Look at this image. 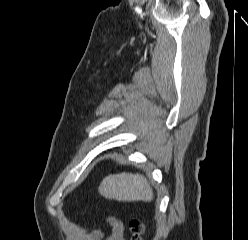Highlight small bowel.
I'll use <instances>...</instances> for the list:
<instances>
[{"label": "small bowel", "instance_id": "small-bowel-1", "mask_svg": "<svg viewBox=\"0 0 248 240\" xmlns=\"http://www.w3.org/2000/svg\"><path fill=\"white\" fill-rule=\"evenodd\" d=\"M108 223L112 228V235L109 240H125L124 226L114 217H108ZM104 234L101 230H94L86 240H100L103 239Z\"/></svg>", "mask_w": 248, "mask_h": 240}]
</instances>
